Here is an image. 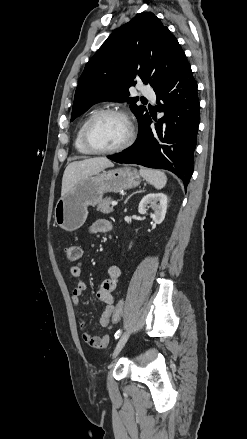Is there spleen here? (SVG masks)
<instances>
[{"label": "spleen", "instance_id": "obj_1", "mask_svg": "<svg viewBox=\"0 0 247 439\" xmlns=\"http://www.w3.org/2000/svg\"><path fill=\"white\" fill-rule=\"evenodd\" d=\"M140 175L156 189H162L167 183L164 172L159 170L140 168Z\"/></svg>", "mask_w": 247, "mask_h": 439}]
</instances>
